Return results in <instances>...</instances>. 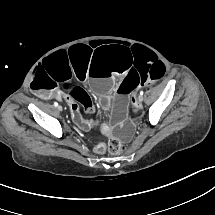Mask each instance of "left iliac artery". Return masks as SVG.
<instances>
[{
	"label": "left iliac artery",
	"instance_id": "obj_1",
	"mask_svg": "<svg viewBox=\"0 0 215 215\" xmlns=\"http://www.w3.org/2000/svg\"><path fill=\"white\" fill-rule=\"evenodd\" d=\"M140 95L143 96V91L140 92Z\"/></svg>",
	"mask_w": 215,
	"mask_h": 215
}]
</instances>
